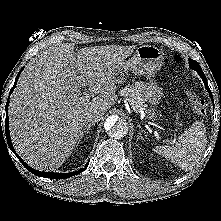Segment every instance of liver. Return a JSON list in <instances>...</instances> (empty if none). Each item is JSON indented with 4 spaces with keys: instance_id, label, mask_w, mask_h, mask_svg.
Listing matches in <instances>:
<instances>
[{
    "instance_id": "1",
    "label": "liver",
    "mask_w": 221,
    "mask_h": 221,
    "mask_svg": "<svg viewBox=\"0 0 221 221\" xmlns=\"http://www.w3.org/2000/svg\"><path fill=\"white\" fill-rule=\"evenodd\" d=\"M135 45L48 47L21 73L9 104L10 136L16 152L37 170L58 168L70 156L92 111L117 101L116 68ZM96 94L92 100L81 90Z\"/></svg>"
}]
</instances>
